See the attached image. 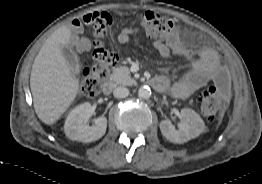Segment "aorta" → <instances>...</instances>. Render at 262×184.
Here are the masks:
<instances>
[{
    "instance_id": "1",
    "label": "aorta",
    "mask_w": 262,
    "mask_h": 184,
    "mask_svg": "<svg viewBox=\"0 0 262 184\" xmlns=\"http://www.w3.org/2000/svg\"><path fill=\"white\" fill-rule=\"evenodd\" d=\"M138 96L142 99H149L151 96V90L148 86L140 87L138 90Z\"/></svg>"
}]
</instances>
